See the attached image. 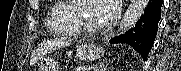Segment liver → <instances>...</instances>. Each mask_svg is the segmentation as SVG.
Here are the masks:
<instances>
[{
  "instance_id": "1",
  "label": "liver",
  "mask_w": 181,
  "mask_h": 71,
  "mask_svg": "<svg viewBox=\"0 0 181 71\" xmlns=\"http://www.w3.org/2000/svg\"><path fill=\"white\" fill-rule=\"evenodd\" d=\"M70 44L71 42L67 40H48L42 42L39 47L33 52L30 64L34 65L46 53H49L52 50L58 49L60 47L69 46Z\"/></svg>"
}]
</instances>
